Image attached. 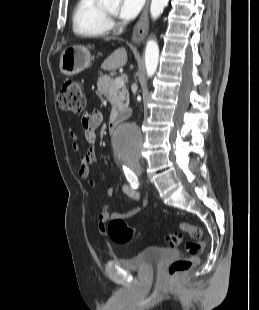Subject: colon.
<instances>
[{"label":"colon","instance_id":"1","mask_svg":"<svg viewBox=\"0 0 259 310\" xmlns=\"http://www.w3.org/2000/svg\"><path fill=\"white\" fill-rule=\"evenodd\" d=\"M57 104L62 111L82 113L85 108V98L81 83L74 79L65 80L58 92ZM179 229L190 236V240L185 244L188 256L177 259L169 265L168 274L170 276H177L190 270L198 262L204 248L200 227L183 222L179 224ZM108 234L114 242L119 244L126 243L137 235L136 231L122 217H116L110 221ZM183 240L184 237L181 233H172L168 236V241L173 247L180 245Z\"/></svg>","mask_w":259,"mask_h":310}]
</instances>
